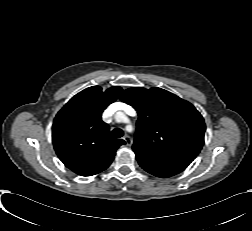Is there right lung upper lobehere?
I'll return each instance as SVG.
<instances>
[{"instance_id": "cb5924a9", "label": "right lung upper lobe", "mask_w": 252, "mask_h": 231, "mask_svg": "<svg viewBox=\"0 0 252 231\" xmlns=\"http://www.w3.org/2000/svg\"><path fill=\"white\" fill-rule=\"evenodd\" d=\"M122 92L111 87L105 92L99 86L89 87L71 98L53 122L52 140L56 154L64 165L81 176H92L105 170L116 150L125 141L110 136L101 119L102 112Z\"/></svg>"}]
</instances>
